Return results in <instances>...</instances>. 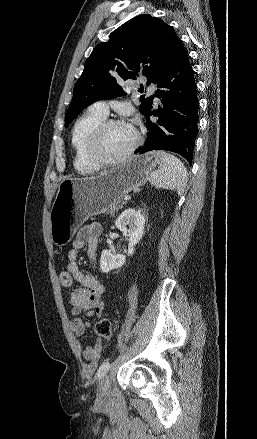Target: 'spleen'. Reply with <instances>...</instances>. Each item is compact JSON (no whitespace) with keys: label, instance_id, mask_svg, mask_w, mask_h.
<instances>
[{"label":"spleen","instance_id":"1","mask_svg":"<svg viewBox=\"0 0 257 439\" xmlns=\"http://www.w3.org/2000/svg\"><path fill=\"white\" fill-rule=\"evenodd\" d=\"M159 169L152 171L150 183L156 188L176 190L182 195L187 185L188 174L183 163L174 155L164 151L156 152Z\"/></svg>","mask_w":257,"mask_h":439}]
</instances>
